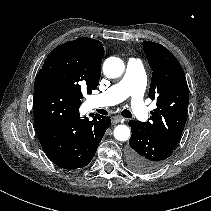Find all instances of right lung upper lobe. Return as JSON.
Listing matches in <instances>:
<instances>
[{"instance_id":"cb5924a9","label":"right lung upper lobe","mask_w":211,"mask_h":211,"mask_svg":"<svg viewBox=\"0 0 211 211\" xmlns=\"http://www.w3.org/2000/svg\"><path fill=\"white\" fill-rule=\"evenodd\" d=\"M60 46H63L71 53L86 77L98 85L101 76V62L104 57V48L101 42L87 37H80Z\"/></svg>"}]
</instances>
